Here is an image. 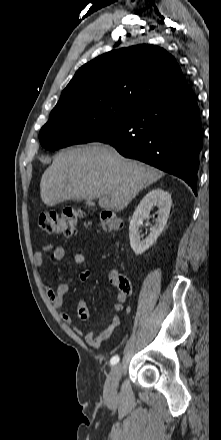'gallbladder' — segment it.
I'll use <instances>...</instances> for the list:
<instances>
[{
  "label": "gallbladder",
  "instance_id": "bac80fb5",
  "mask_svg": "<svg viewBox=\"0 0 221 440\" xmlns=\"http://www.w3.org/2000/svg\"><path fill=\"white\" fill-rule=\"evenodd\" d=\"M86 205H88V206H93V205H94L93 200H92V199H87V200H86Z\"/></svg>",
  "mask_w": 221,
  "mask_h": 440
}]
</instances>
